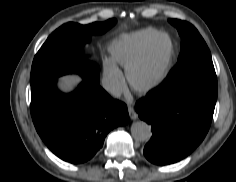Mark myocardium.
<instances>
[{"mask_svg": "<svg viewBox=\"0 0 236 182\" xmlns=\"http://www.w3.org/2000/svg\"><path fill=\"white\" fill-rule=\"evenodd\" d=\"M162 37H166L170 43L169 58L166 62L164 69L152 81L146 83L135 82L133 79V74L135 70L148 58L155 43ZM175 54H176L175 44L173 39L168 33L161 32L155 35L148 44V46L146 47V49L126 67L125 75L129 85L137 92H147L157 87L169 74L172 68Z\"/></svg>", "mask_w": 236, "mask_h": 182, "instance_id": "myocardium-1", "label": "myocardium"}]
</instances>
